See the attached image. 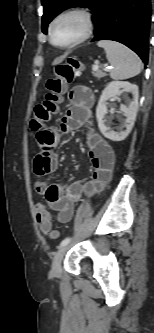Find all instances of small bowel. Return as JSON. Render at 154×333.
<instances>
[{
    "label": "small bowel",
    "mask_w": 154,
    "mask_h": 333,
    "mask_svg": "<svg viewBox=\"0 0 154 333\" xmlns=\"http://www.w3.org/2000/svg\"><path fill=\"white\" fill-rule=\"evenodd\" d=\"M69 98L71 106L65 113L60 128L63 133L86 129L89 157L94 168L92 178L86 183L72 182L67 186L61 183L49 184L45 177L58 167L56 148L60 135L48 126L35 133L39 151L34 158L36 175L34 189L45 198L48 207L57 213V220L61 223L72 219L75 206L84 194L93 195L103 190L112 178L115 164L111 145L92 127L91 107L94 102L92 91L86 86L78 85L70 91Z\"/></svg>",
    "instance_id": "obj_1"
}]
</instances>
